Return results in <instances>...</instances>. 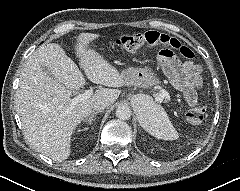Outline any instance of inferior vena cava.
Listing matches in <instances>:
<instances>
[{
  "mask_svg": "<svg viewBox=\"0 0 240 191\" xmlns=\"http://www.w3.org/2000/svg\"><path fill=\"white\" fill-rule=\"evenodd\" d=\"M108 106H109V103L107 101L99 100V101H96V102L93 103L92 109L94 111L101 112L102 110H104Z\"/></svg>",
  "mask_w": 240,
  "mask_h": 191,
  "instance_id": "obj_1",
  "label": "inferior vena cava"
}]
</instances>
